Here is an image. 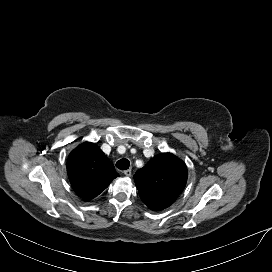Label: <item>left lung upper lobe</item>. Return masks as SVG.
<instances>
[{
	"instance_id": "1",
	"label": "left lung upper lobe",
	"mask_w": 272,
	"mask_h": 272,
	"mask_svg": "<svg viewBox=\"0 0 272 272\" xmlns=\"http://www.w3.org/2000/svg\"><path fill=\"white\" fill-rule=\"evenodd\" d=\"M141 200L153 211L163 210L177 199L187 181L185 163L171 153L153 157L134 175Z\"/></svg>"
}]
</instances>
